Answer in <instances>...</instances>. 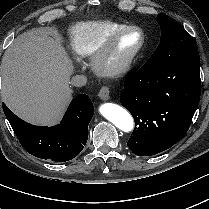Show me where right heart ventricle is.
<instances>
[{
	"label": "right heart ventricle",
	"instance_id": "obj_1",
	"mask_svg": "<svg viewBox=\"0 0 209 209\" xmlns=\"http://www.w3.org/2000/svg\"><path fill=\"white\" fill-rule=\"evenodd\" d=\"M125 26L131 25L113 20L77 23L68 31L69 49L77 58L92 56L114 30Z\"/></svg>",
	"mask_w": 209,
	"mask_h": 209
}]
</instances>
